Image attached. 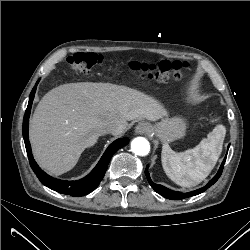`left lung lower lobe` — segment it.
Masks as SVG:
<instances>
[{
	"label": "left lung lower lobe",
	"mask_w": 250,
	"mask_h": 250,
	"mask_svg": "<svg viewBox=\"0 0 250 250\" xmlns=\"http://www.w3.org/2000/svg\"><path fill=\"white\" fill-rule=\"evenodd\" d=\"M228 149H229V146H228ZM226 157H227V155H226ZM226 157L224 158V160H223L217 174L210 180V182L206 186H204V187H202L200 189L191 191V192H187L185 194L182 193V192H177V191L170 190V189H168V188H166V187H164L162 185L155 184L154 182H152V180L150 178V175L148 173V166H146L145 175L147 177V180H148L149 184L152 186V188L157 193L162 195L163 197L168 198V199H172V200L184 199V198H187V197L198 195V194L206 191L211 185H213L219 179V177H220V175L222 173Z\"/></svg>",
	"instance_id": "1"
}]
</instances>
